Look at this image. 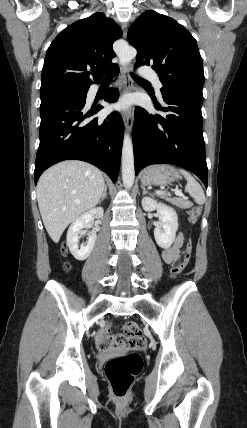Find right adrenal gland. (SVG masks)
Masks as SVG:
<instances>
[{
    "label": "right adrenal gland",
    "instance_id": "1",
    "mask_svg": "<svg viewBox=\"0 0 247 428\" xmlns=\"http://www.w3.org/2000/svg\"><path fill=\"white\" fill-rule=\"evenodd\" d=\"M107 197V185L104 186V193L102 194V197L100 199V203Z\"/></svg>",
    "mask_w": 247,
    "mask_h": 428
}]
</instances>
